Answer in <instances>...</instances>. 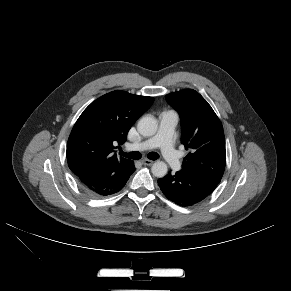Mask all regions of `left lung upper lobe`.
Instances as JSON below:
<instances>
[{"instance_id":"obj_1","label":"left lung upper lobe","mask_w":291,"mask_h":291,"mask_svg":"<svg viewBox=\"0 0 291 291\" xmlns=\"http://www.w3.org/2000/svg\"><path fill=\"white\" fill-rule=\"evenodd\" d=\"M166 100L180 114L181 142L191 149L182 169L219 183L226 164L224 131L219 118L195 90L170 93Z\"/></svg>"}]
</instances>
